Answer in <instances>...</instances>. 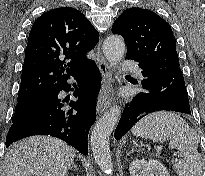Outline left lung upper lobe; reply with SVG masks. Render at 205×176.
<instances>
[{"label":"left lung upper lobe","mask_w":205,"mask_h":176,"mask_svg":"<svg viewBox=\"0 0 205 176\" xmlns=\"http://www.w3.org/2000/svg\"><path fill=\"white\" fill-rule=\"evenodd\" d=\"M112 32L124 38L126 58L139 62L142 69L179 67L172 29L153 11L127 9L114 22Z\"/></svg>","instance_id":"left-lung-upper-lobe-1"}]
</instances>
